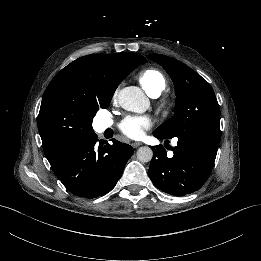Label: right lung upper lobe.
<instances>
[{"instance_id":"1","label":"right lung upper lobe","mask_w":261,"mask_h":261,"mask_svg":"<svg viewBox=\"0 0 261 261\" xmlns=\"http://www.w3.org/2000/svg\"><path fill=\"white\" fill-rule=\"evenodd\" d=\"M145 62L130 52L93 54L57 73L43 95L38 115L42 146L50 163L96 135L92 120L101 102L112 98L132 67Z\"/></svg>"}]
</instances>
